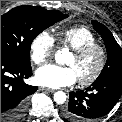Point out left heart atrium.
<instances>
[{"label": "left heart atrium", "mask_w": 122, "mask_h": 122, "mask_svg": "<svg viewBox=\"0 0 122 122\" xmlns=\"http://www.w3.org/2000/svg\"><path fill=\"white\" fill-rule=\"evenodd\" d=\"M35 78L38 84L49 88L70 86L77 80L71 66H58L46 64L37 69Z\"/></svg>", "instance_id": "39dd6f15"}]
</instances>
